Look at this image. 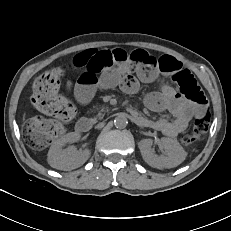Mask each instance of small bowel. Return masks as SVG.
<instances>
[{
	"label": "small bowel",
	"instance_id": "1",
	"mask_svg": "<svg viewBox=\"0 0 231 231\" xmlns=\"http://www.w3.org/2000/svg\"><path fill=\"white\" fill-rule=\"evenodd\" d=\"M128 54L129 52L123 49H91L77 54L66 65L83 71L73 86L76 99L84 104L91 100L96 89H111L117 86L127 93H134L140 81L152 82L159 75L174 77L183 72L193 77L191 71L173 57L163 56L156 59L141 50L138 60H130ZM199 91L204 95L200 88ZM145 103L153 111L168 110L173 115V120H152L135 113V117L142 124L167 136H176L183 132L193 118L201 117L207 109L206 104L180 94L169 86L163 87L159 92L149 93Z\"/></svg>",
	"mask_w": 231,
	"mask_h": 231
}]
</instances>
